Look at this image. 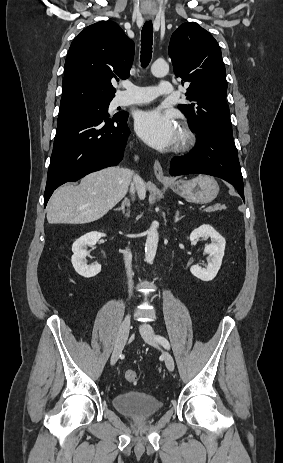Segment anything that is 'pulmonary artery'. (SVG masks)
<instances>
[{
    "label": "pulmonary artery",
    "mask_w": 283,
    "mask_h": 463,
    "mask_svg": "<svg viewBox=\"0 0 283 463\" xmlns=\"http://www.w3.org/2000/svg\"><path fill=\"white\" fill-rule=\"evenodd\" d=\"M125 90L117 94L114 103L116 106L142 104L156 99L159 96H169L174 92V87L169 81H161L157 86L140 87L132 83L122 86Z\"/></svg>",
    "instance_id": "pulmonary-artery-1"
}]
</instances>
